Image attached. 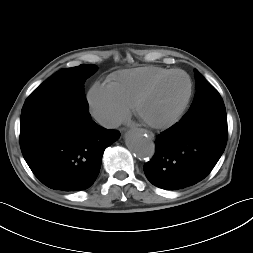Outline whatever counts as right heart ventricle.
<instances>
[{"label":"right heart ventricle","mask_w":253,"mask_h":253,"mask_svg":"<svg viewBox=\"0 0 253 253\" xmlns=\"http://www.w3.org/2000/svg\"><path fill=\"white\" fill-rule=\"evenodd\" d=\"M170 70L159 66L127 69L112 75L108 84L128 107H133L138 95L152 81Z\"/></svg>","instance_id":"right-heart-ventricle-1"}]
</instances>
